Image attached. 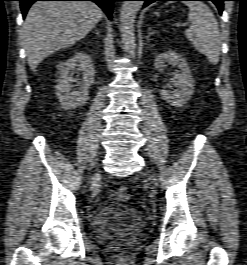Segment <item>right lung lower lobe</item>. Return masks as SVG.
Here are the masks:
<instances>
[{"mask_svg": "<svg viewBox=\"0 0 247 265\" xmlns=\"http://www.w3.org/2000/svg\"><path fill=\"white\" fill-rule=\"evenodd\" d=\"M19 1L21 3L20 7L22 10L23 17L26 16L28 9L36 1H93L99 7H101L103 11L107 14L108 18L111 19L113 12V3L114 1H120V0H19Z\"/></svg>", "mask_w": 247, "mask_h": 265, "instance_id": "right-lung-lower-lobe-1", "label": "right lung lower lobe"}]
</instances>
